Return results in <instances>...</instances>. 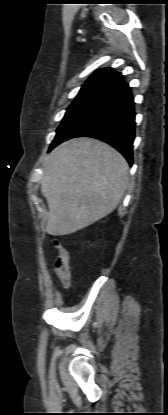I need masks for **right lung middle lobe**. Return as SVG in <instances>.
Instances as JSON below:
<instances>
[{
    "instance_id": "right-lung-middle-lobe-1",
    "label": "right lung middle lobe",
    "mask_w": 168,
    "mask_h": 415,
    "mask_svg": "<svg viewBox=\"0 0 168 415\" xmlns=\"http://www.w3.org/2000/svg\"><path fill=\"white\" fill-rule=\"evenodd\" d=\"M99 94L95 93H79L72 104L68 107L64 119L59 126L57 132L62 128L81 108H83L90 101L95 99Z\"/></svg>"
}]
</instances>
